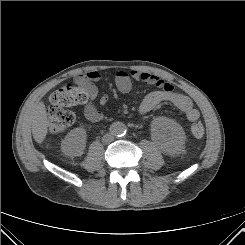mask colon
Instances as JSON below:
<instances>
[{"mask_svg":"<svg viewBox=\"0 0 245 245\" xmlns=\"http://www.w3.org/2000/svg\"><path fill=\"white\" fill-rule=\"evenodd\" d=\"M89 98V90L76 82H67L52 93L48 110L50 132L60 133L70 127L74 123L75 115L68 108L84 104ZM190 132L194 137L200 138L205 129L201 122H195L191 125Z\"/></svg>","mask_w":245,"mask_h":245,"instance_id":"colon-1","label":"colon"}]
</instances>
